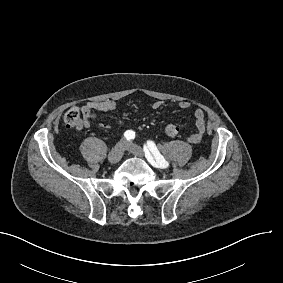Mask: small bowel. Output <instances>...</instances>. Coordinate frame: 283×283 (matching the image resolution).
<instances>
[{
  "instance_id": "c3829d8e",
  "label": "small bowel",
  "mask_w": 283,
  "mask_h": 283,
  "mask_svg": "<svg viewBox=\"0 0 283 283\" xmlns=\"http://www.w3.org/2000/svg\"><path fill=\"white\" fill-rule=\"evenodd\" d=\"M163 106L164 102L161 100H156L152 103V109L154 110H161ZM116 107V102L110 99L87 102L81 108L83 115L81 126L89 128L91 122L98 119L100 112L113 111ZM179 107L182 110H187L190 108V103L181 101L179 102ZM193 117L195 130L188 136L187 141L190 144H198L202 140L206 129L205 113L201 108H196L193 112Z\"/></svg>"
}]
</instances>
